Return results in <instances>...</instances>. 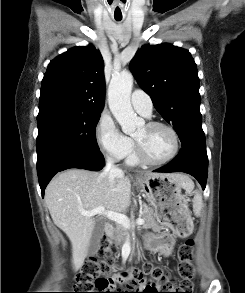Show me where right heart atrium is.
<instances>
[{
	"mask_svg": "<svg viewBox=\"0 0 245 293\" xmlns=\"http://www.w3.org/2000/svg\"><path fill=\"white\" fill-rule=\"evenodd\" d=\"M96 138L102 151L111 159H123L133 149L132 140L123 135L107 116H102L99 119Z\"/></svg>",
	"mask_w": 245,
	"mask_h": 293,
	"instance_id": "1",
	"label": "right heart atrium"
}]
</instances>
